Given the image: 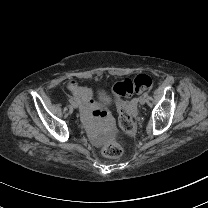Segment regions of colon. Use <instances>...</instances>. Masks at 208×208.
Wrapping results in <instances>:
<instances>
[{
    "label": "colon",
    "mask_w": 208,
    "mask_h": 208,
    "mask_svg": "<svg viewBox=\"0 0 208 208\" xmlns=\"http://www.w3.org/2000/svg\"><path fill=\"white\" fill-rule=\"evenodd\" d=\"M152 85L153 79L146 74H138L133 78H126L117 81L113 85L112 92L117 105L119 122L125 133L132 134L136 130V125L132 122L129 114L127 98L132 96L134 93L150 89ZM103 153L106 158L115 160L120 157L122 148L119 143L110 141L105 144Z\"/></svg>",
    "instance_id": "5ec220e1"
}]
</instances>
